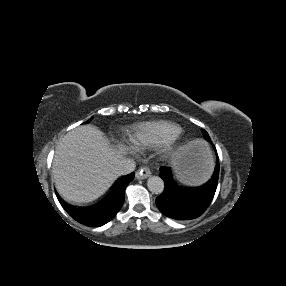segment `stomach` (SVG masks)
Returning a JSON list of instances; mask_svg holds the SVG:
<instances>
[{
  "label": "stomach",
  "mask_w": 286,
  "mask_h": 286,
  "mask_svg": "<svg viewBox=\"0 0 286 286\" xmlns=\"http://www.w3.org/2000/svg\"><path fill=\"white\" fill-rule=\"evenodd\" d=\"M177 178L189 185L205 182L212 171L213 161L207 145L196 140L182 148L173 162Z\"/></svg>",
  "instance_id": "obj_1"
}]
</instances>
